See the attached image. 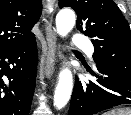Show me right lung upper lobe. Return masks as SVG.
<instances>
[{
	"label": "right lung upper lobe",
	"instance_id": "right-lung-upper-lobe-1",
	"mask_svg": "<svg viewBox=\"0 0 131 115\" xmlns=\"http://www.w3.org/2000/svg\"><path fill=\"white\" fill-rule=\"evenodd\" d=\"M41 10V0H0V52L34 39L31 29Z\"/></svg>",
	"mask_w": 131,
	"mask_h": 115
}]
</instances>
